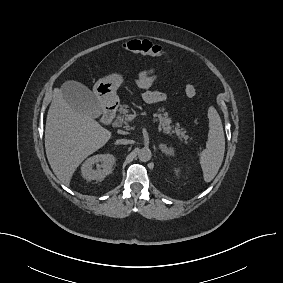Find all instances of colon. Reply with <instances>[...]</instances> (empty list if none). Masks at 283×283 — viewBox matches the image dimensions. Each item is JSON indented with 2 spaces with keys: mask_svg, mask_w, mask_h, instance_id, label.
Returning <instances> with one entry per match:
<instances>
[{
  "mask_svg": "<svg viewBox=\"0 0 283 283\" xmlns=\"http://www.w3.org/2000/svg\"><path fill=\"white\" fill-rule=\"evenodd\" d=\"M123 48L125 51L134 53V54H142V55H150L155 57H163L168 58V55L164 52V50L159 46L147 39H132L126 41L123 44ZM185 94L189 98H194L196 96V88L193 84L188 83L185 86Z\"/></svg>",
  "mask_w": 283,
  "mask_h": 283,
  "instance_id": "colon-1",
  "label": "colon"
}]
</instances>
